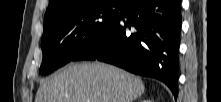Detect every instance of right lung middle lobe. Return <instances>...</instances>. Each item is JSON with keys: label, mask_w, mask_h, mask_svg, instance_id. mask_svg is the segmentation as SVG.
I'll list each match as a JSON object with an SVG mask.
<instances>
[{"label": "right lung middle lobe", "mask_w": 221, "mask_h": 102, "mask_svg": "<svg viewBox=\"0 0 221 102\" xmlns=\"http://www.w3.org/2000/svg\"><path fill=\"white\" fill-rule=\"evenodd\" d=\"M125 0H80L44 21L43 61L48 74L73 61L85 47L102 36L119 18Z\"/></svg>", "instance_id": "1"}]
</instances>
